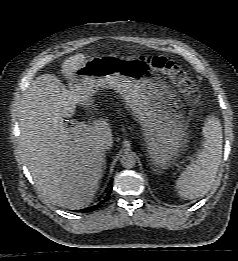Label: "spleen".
<instances>
[{
	"label": "spleen",
	"instance_id": "3e777b00",
	"mask_svg": "<svg viewBox=\"0 0 238 261\" xmlns=\"http://www.w3.org/2000/svg\"><path fill=\"white\" fill-rule=\"evenodd\" d=\"M202 151L187 166L176 181L181 198L192 200L203 197L212 188L222 158V126L215 116L204 123Z\"/></svg>",
	"mask_w": 238,
	"mask_h": 261
}]
</instances>
